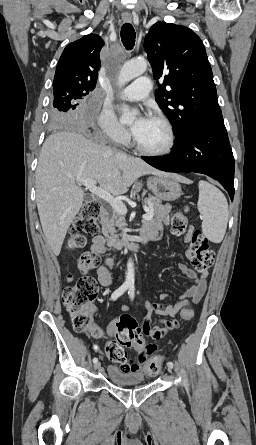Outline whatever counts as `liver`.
Returning <instances> with one entry per match:
<instances>
[{
  "label": "liver",
  "mask_w": 256,
  "mask_h": 445,
  "mask_svg": "<svg viewBox=\"0 0 256 445\" xmlns=\"http://www.w3.org/2000/svg\"><path fill=\"white\" fill-rule=\"evenodd\" d=\"M166 174L140 158L128 156L74 131L51 134L44 142L36 169V203L46 241L59 255L67 230L79 212L84 192L79 179L121 195L141 176Z\"/></svg>",
  "instance_id": "obj_1"
}]
</instances>
